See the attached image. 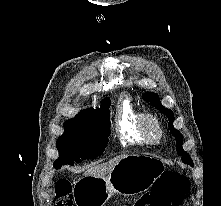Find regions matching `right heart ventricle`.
Returning <instances> with one entry per match:
<instances>
[{"label":"right heart ventricle","instance_id":"obj_1","mask_svg":"<svg viewBox=\"0 0 221 206\" xmlns=\"http://www.w3.org/2000/svg\"><path fill=\"white\" fill-rule=\"evenodd\" d=\"M140 114L128 97L120 98L115 116V129L123 145L147 144L138 126Z\"/></svg>","mask_w":221,"mask_h":206}]
</instances>
